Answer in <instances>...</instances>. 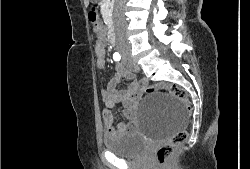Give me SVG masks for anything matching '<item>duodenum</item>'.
Instances as JSON below:
<instances>
[{
    "instance_id": "410a0bca",
    "label": "duodenum",
    "mask_w": 250,
    "mask_h": 169,
    "mask_svg": "<svg viewBox=\"0 0 250 169\" xmlns=\"http://www.w3.org/2000/svg\"><path fill=\"white\" fill-rule=\"evenodd\" d=\"M109 41L113 45L117 44L116 35H115V33L113 31L109 32Z\"/></svg>"
}]
</instances>
